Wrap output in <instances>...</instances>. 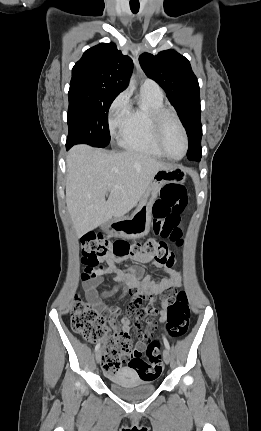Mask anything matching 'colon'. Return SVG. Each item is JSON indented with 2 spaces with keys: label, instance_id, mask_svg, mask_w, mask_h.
<instances>
[{
  "label": "colon",
  "instance_id": "obj_1",
  "mask_svg": "<svg viewBox=\"0 0 261 431\" xmlns=\"http://www.w3.org/2000/svg\"><path fill=\"white\" fill-rule=\"evenodd\" d=\"M187 202V192L182 185L169 183L161 188L159 199L153 207L152 229L156 236L169 239L178 246L182 245L180 215ZM81 249L82 262L91 271L102 270L104 266L99 263L108 257L123 260L151 256L162 264L173 265L175 262L167 243L152 238L144 242L129 243L123 239L110 241L100 234H87L81 240ZM162 301L167 304V319L163 322L165 331L172 339L182 337L187 331L191 314L186 293L181 291L175 294L170 289L164 292ZM71 325L72 329L87 342L94 343L103 338L104 372H116L126 359V366L136 370L141 383H157L161 380L162 365L161 357L157 353V343L153 342L149 346L146 353L148 362L144 361L141 352L133 348L129 334L109 331L105 318L90 308L79 296L72 304Z\"/></svg>",
  "mask_w": 261,
  "mask_h": 431
}]
</instances>
